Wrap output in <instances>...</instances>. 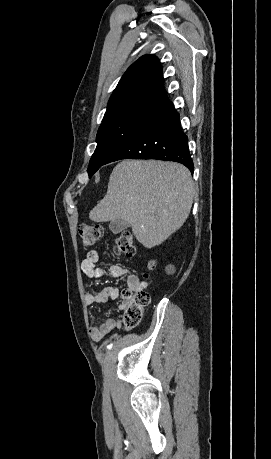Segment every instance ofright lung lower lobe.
Instances as JSON below:
<instances>
[{
  "label": "right lung lower lobe",
  "mask_w": 271,
  "mask_h": 459,
  "mask_svg": "<svg viewBox=\"0 0 271 459\" xmlns=\"http://www.w3.org/2000/svg\"><path fill=\"white\" fill-rule=\"evenodd\" d=\"M158 159L185 165L193 173L188 137L181 129L173 104L139 128L106 161Z\"/></svg>",
  "instance_id": "obj_1"
}]
</instances>
